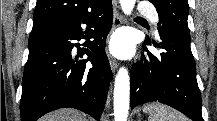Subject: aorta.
I'll use <instances>...</instances> for the list:
<instances>
[{"label": "aorta", "mask_w": 217, "mask_h": 121, "mask_svg": "<svg viewBox=\"0 0 217 121\" xmlns=\"http://www.w3.org/2000/svg\"><path fill=\"white\" fill-rule=\"evenodd\" d=\"M136 0H120L124 14L130 15ZM130 98V78L128 70L120 68L114 85V120L127 121Z\"/></svg>", "instance_id": "aorta-1"}]
</instances>
